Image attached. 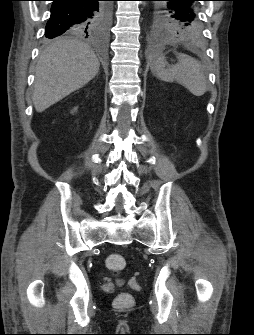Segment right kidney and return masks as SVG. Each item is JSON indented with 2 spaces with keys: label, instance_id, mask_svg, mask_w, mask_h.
Returning <instances> with one entry per match:
<instances>
[{
  "label": "right kidney",
  "instance_id": "ca27d5eb",
  "mask_svg": "<svg viewBox=\"0 0 254 335\" xmlns=\"http://www.w3.org/2000/svg\"><path fill=\"white\" fill-rule=\"evenodd\" d=\"M76 110H77V108H74V109L72 110V113L75 112Z\"/></svg>",
  "mask_w": 254,
  "mask_h": 335
}]
</instances>
